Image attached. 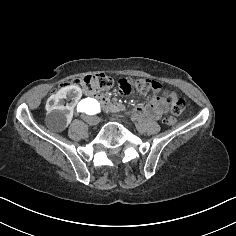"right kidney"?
<instances>
[{
	"instance_id": "ca27d5eb",
	"label": "right kidney",
	"mask_w": 236,
	"mask_h": 236,
	"mask_svg": "<svg viewBox=\"0 0 236 236\" xmlns=\"http://www.w3.org/2000/svg\"><path fill=\"white\" fill-rule=\"evenodd\" d=\"M68 93H73L75 96L67 95ZM81 96L82 90L77 85L63 87L52 95L47 103L49 112L44 120L46 129L51 132H58L63 127L65 129L72 120L73 108L77 106Z\"/></svg>"
}]
</instances>
